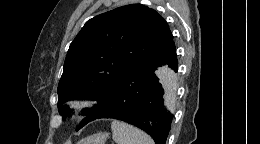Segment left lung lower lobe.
Returning a JSON list of instances; mask_svg holds the SVG:
<instances>
[{"label":"left lung lower lobe","instance_id":"left-lung-lower-lobe-1","mask_svg":"<svg viewBox=\"0 0 260 144\" xmlns=\"http://www.w3.org/2000/svg\"><path fill=\"white\" fill-rule=\"evenodd\" d=\"M167 61L177 71L174 41L126 73L112 92L109 105L96 119L132 124L147 132L156 144H165L173 119L168 101L170 91L167 86L162 87L154 71Z\"/></svg>","mask_w":260,"mask_h":144}]
</instances>
